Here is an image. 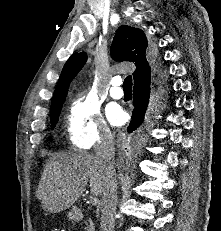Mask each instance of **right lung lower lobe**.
Listing matches in <instances>:
<instances>
[{"label":"right lung lower lobe","mask_w":221,"mask_h":231,"mask_svg":"<svg viewBox=\"0 0 221 231\" xmlns=\"http://www.w3.org/2000/svg\"><path fill=\"white\" fill-rule=\"evenodd\" d=\"M153 79H154L153 83H157L158 85L156 86L160 87L159 91L165 88L164 86L166 84V72L162 64H160V62L156 64V71L153 75ZM133 90H134L133 92L134 109L132 113V120L129 126L127 127V131L129 133L138 129L142 125L145 119V114L148 108L149 98H150V81L135 86Z\"/></svg>","instance_id":"98d812e1"}]
</instances>
